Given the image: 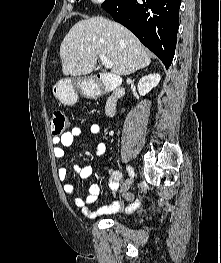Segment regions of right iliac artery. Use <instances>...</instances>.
Segmentation results:
<instances>
[{"instance_id":"obj_1","label":"right iliac artery","mask_w":221,"mask_h":263,"mask_svg":"<svg viewBox=\"0 0 221 263\" xmlns=\"http://www.w3.org/2000/svg\"><path fill=\"white\" fill-rule=\"evenodd\" d=\"M127 171H128V173H129V175H130V177H134V171H133V168L131 167V166H127Z\"/></svg>"}]
</instances>
